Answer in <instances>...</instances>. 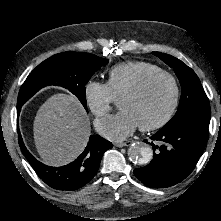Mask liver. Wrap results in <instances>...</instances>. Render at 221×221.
<instances>
[{
    "label": "liver",
    "mask_w": 221,
    "mask_h": 221,
    "mask_svg": "<svg viewBox=\"0 0 221 221\" xmlns=\"http://www.w3.org/2000/svg\"><path fill=\"white\" fill-rule=\"evenodd\" d=\"M90 121L72 95L58 93L39 108L33 123L34 142L46 165L63 166L79 156L90 136Z\"/></svg>",
    "instance_id": "liver-1"
}]
</instances>
